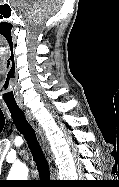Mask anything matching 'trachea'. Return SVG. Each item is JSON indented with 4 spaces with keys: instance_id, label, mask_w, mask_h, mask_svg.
Wrapping results in <instances>:
<instances>
[{
    "instance_id": "3493384b",
    "label": "trachea",
    "mask_w": 119,
    "mask_h": 187,
    "mask_svg": "<svg viewBox=\"0 0 119 187\" xmlns=\"http://www.w3.org/2000/svg\"><path fill=\"white\" fill-rule=\"evenodd\" d=\"M11 113V117L17 129L24 135L32 156L36 163L41 178L48 179L50 177L49 165L39 145L36 134L32 126L27 122L23 111L18 105L7 104Z\"/></svg>"
}]
</instances>
